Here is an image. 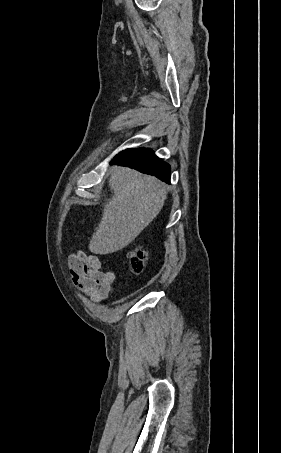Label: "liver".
Masks as SVG:
<instances>
[{
  "label": "liver",
  "mask_w": 281,
  "mask_h": 453,
  "mask_svg": "<svg viewBox=\"0 0 281 453\" xmlns=\"http://www.w3.org/2000/svg\"><path fill=\"white\" fill-rule=\"evenodd\" d=\"M111 170L113 194L104 204L88 247L95 255L115 253L132 243L160 212L167 196L166 186L155 176L125 166H112Z\"/></svg>",
  "instance_id": "6515ba94"
}]
</instances>
